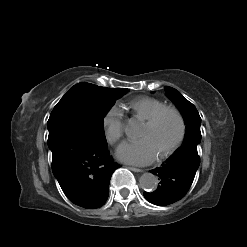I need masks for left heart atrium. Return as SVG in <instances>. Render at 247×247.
I'll list each match as a JSON object with an SVG mask.
<instances>
[{
  "label": "left heart atrium",
  "mask_w": 247,
  "mask_h": 247,
  "mask_svg": "<svg viewBox=\"0 0 247 247\" xmlns=\"http://www.w3.org/2000/svg\"><path fill=\"white\" fill-rule=\"evenodd\" d=\"M157 154L153 144L146 138L126 141L116 151V157L120 161L134 165L150 164L156 159Z\"/></svg>",
  "instance_id": "obj_1"
}]
</instances>
